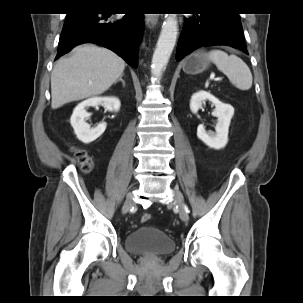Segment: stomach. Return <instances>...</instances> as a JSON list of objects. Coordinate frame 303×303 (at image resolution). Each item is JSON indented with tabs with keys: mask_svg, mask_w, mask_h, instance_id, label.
<instances>
[{
	"mask_svg": "<svg viewBox=\"0 0 303 303\" xmlns=\"http://www.w3.org/2000/svg\"><path fill=\"white\" fill-rule=\"evenodd\" d=\"M210 66V59L203 52H197L188 56L183 64V71L187 74H199Z\"/></svg>",
	"mask_w": 303,
	"mask_h": 303,
	"instance_id": "obj_1",
	"label": "stomach"
}]
</instances>
